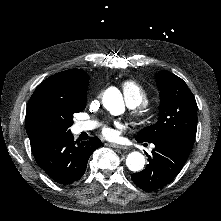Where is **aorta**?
<instances>
[{
    "mask_svg": "<svg viewBox=\"0 0 221 221\" xmlns=\"http://www.w3.org/2000/svg\"><path fill=\"white\" fill-rule=\"evenodd\" d=\"M105 102L106 106L116 113H118L123 107V102L119 93L112 101L109 102L108 99H105ZM144 165L145 157L140 152L134 151L128 154L126 158V166L129 170L139 172L144 168Z\"/></svg>",
    "mask_w": 221,
    "mask_h": 221,
    "instance_id": "1",
    "label": "aorta"
}]
</instances>
